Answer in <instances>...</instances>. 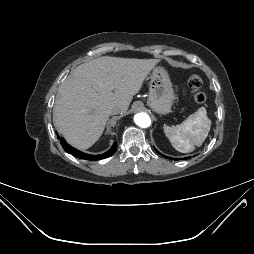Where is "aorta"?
<instances>
[{
  "label": "aorta",
  "instance_id": "obj_1",
  "mask_svg": "<svg viewBox=\"0 0 254 254\" xmlns=\"http://www.w3.org/2000/svg\"><path fill=\"white\" fill-rule=\"evenodd\" d=\"M135 123L142 128H147L151 124V119L147 113H138L134 116Z\"/></svg>",
  "mask_w": 254,
  "mask_h": 254
}]
</instances>
